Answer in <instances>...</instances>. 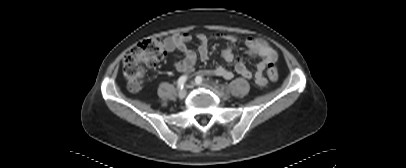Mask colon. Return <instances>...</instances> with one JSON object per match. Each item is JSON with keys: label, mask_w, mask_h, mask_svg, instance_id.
<instances>
[{"label": "colon", "mask_w": 406, "mask_h": 168, "mask_svg": "<svg viewBox=\"0 0 406 168\" xmlns=\"http://www.w3.org/2000/svg\"><path fill=\"white\" fill-rule=\"evenodd\" d=\"M165 56L164 40L160 37H150L134 46L123 59V75L130 91L141 88L145 67H156ZM269 79L278 80V72L274 64L267 67Z\"/></svg>", "instance_id": "1"}]
</instances>
